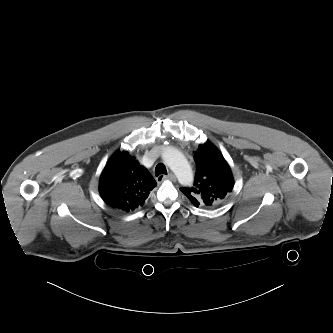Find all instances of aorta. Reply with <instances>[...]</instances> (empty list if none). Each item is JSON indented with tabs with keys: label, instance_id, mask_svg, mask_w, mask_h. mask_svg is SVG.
Returning a JSON list of instances; mask_svg holds the SVG:
<instances>
[{
	"label": "aorta",
	"instance_id": "aorta-1",
	"mask_svg": "<svg viewBox=\"0 0 333 333\" xmlns=\"http://www.w3.org/2000/svg\"><path fill=\"white\" fill-rule=\"evenodd\" d=\"M165 164L175 173L182 185H191L193 174L185 156L174 147H165L162 152Z\"/></svg>",
	"mask_w": 333,
	"mask_h": 333
}]
</instances>
